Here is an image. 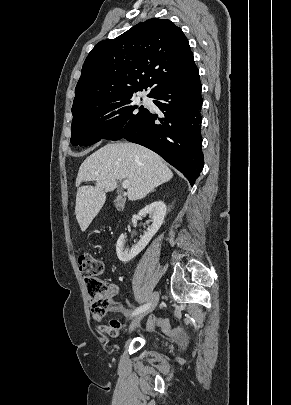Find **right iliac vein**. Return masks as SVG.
<instances>
[{"mask_svg":"<svg viewBox=\"0 0 291 405\" xmlns=\"http://www.w3.org/2000/svg\"><path fill=\"white\" fill-rule=\"evenodd\" d=\"M158 301H159V294H158V292H154V293L152 294V296H151L149 308H148L146 311H144L142 314H140L139 316H137V317L131 322L130 327H129V330H130V331L134 330V329L139 325L140 320H141L146 314L152 312V311L156 308V306H157V304H158Z\"/></svg>","mask_w":291,"mask_h":405,"instance_id":"obj_1","label":"right iliac vein"}]
</instances>
